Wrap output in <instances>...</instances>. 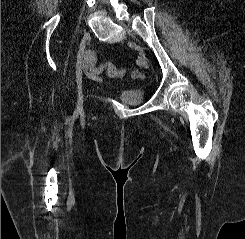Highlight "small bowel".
<instances>
[{
    "instance_id": "1",
    "label": "small bowel",
    "mask_w": 245,
    "mask_h": 239,
    "mask_svg": "<svg viewBox=\"0 0 245 239\" xmlns=\"http://www.w3.org/2000/svg\"><path fill=\"white\" fill-rule=\"evenodd\" d=\"M97 55L98 53L95 50L87 52L85 58L84 71L87 78L91 81L101 82V75L105 71V66L104 64H96Z\"/></svg>"
}]
</instances>
